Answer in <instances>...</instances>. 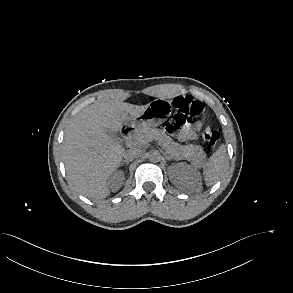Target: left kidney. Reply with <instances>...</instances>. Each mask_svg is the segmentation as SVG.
<instances>
[{
  "mask_svg": "<svg viewBox=\"0 0 293 293\" xmlns=\"http://www.w3.org/2000/svg\"><path fill=\"white\" fill-rule=\"evenodd\" d=\"M170 168L172 169V182L175 186L201 191V176L196 168L183 162L173 164Z\"/></svg>",
  "mask_w": 293,
  "mask_h": 293,
  "instance_id": "1",
  "label": "left kidney"
}]
</instances>
